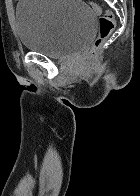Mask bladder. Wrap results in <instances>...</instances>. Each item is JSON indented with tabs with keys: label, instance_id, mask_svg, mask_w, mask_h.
<instances>
[{
	"label": "bladder",
	"instance_id": "bladder-1",
	"mask_svg": "<svg viewBox=\"0 0 140 196\" xmlns=\"http://www.w3.org/2000/svg\"><path fill=\"white\" fill-rule=\"evenodd\" d=\"M15 22L22 46L52 59L84 50L97 33L96 12L82 0H20Z\"/></svg>",
	"mask_w": 140,
	"mask_h": 196
}]
</instances>
